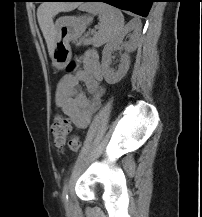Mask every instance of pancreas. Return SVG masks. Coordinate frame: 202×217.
Wrapping results in <instances>:
<instances>
[{"instance_id":"obj_1","label":"pancreas","mask_w":202,"mask_h":217,"mask_svg":"<svg viewBox=\"0 0 202 217\" xmlns=\"http://www.w3.org/2000/svg\"><path fill=\"white\" fill-rule=\"evenodd\" d=\"M80 43H83L84 45H90L91 44V40L90 39H86V38H82V39H80Z\"/></svg>"}]
</instances>
